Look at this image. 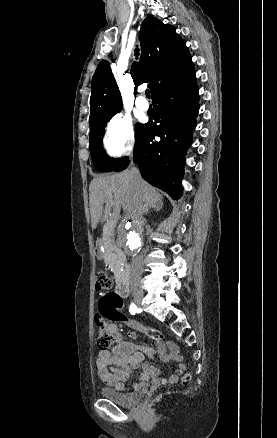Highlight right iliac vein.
<instances>
[{
    "instance_id": "1",
    "label": "right iliac vein",
    "mask_w": 277,
    "mask_h": 438,
    "mask_svg": "<svg viewBox=\"0 0 277 438\" xmlns=\"http://www.w3.org/2000/svg\"><path fill=\"white\" fill-rule=\"evenodd\" d=\"M141 300H142V297H141V296H137V297L135 298V301H136L137 304H140Z\"/></svg>"
}]
</instances>
